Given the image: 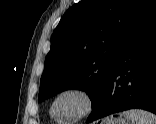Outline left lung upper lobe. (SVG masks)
Masks as SVG:
<instances>
[{"label":"left lung upper lobe","mask_w":156,"mask_h":124,"mask_svg":"<svg viewBox=\"0 0 156 124\" xmlns=\"http://www.w3.org/2000/svg\"><path fill=\"white\" fill-rule=\"evenodd\" d=\"M156 9V0H82L61 18L51 37L38 100L84 90L92 106L126 45Z\"/></svg>","instance_id":"left-lung-upper-lobe-1"}]
</instances>
